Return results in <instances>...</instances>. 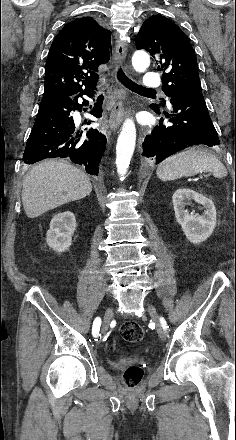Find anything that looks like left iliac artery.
I'll return each instance as SVG.
<instances>
[{
    "mask_svg": "<svg viewBox=\"0 0 236 440\" xmlns=\"http://www.w3.org/2000/svg\"><path fill=\"white\" fill-rule=\"evenodd\" d=\"M160 320H161L163 329L167 330L168 326H167V323H166L165 319L163 317H161Z\"/></svg>",
    "mask_w": 236,
    "mask_h": 440,
    "instance_id": "1",
    "label": "left iliac artery"
}]
</instances>
